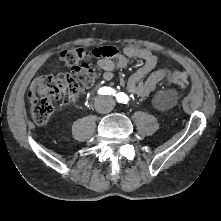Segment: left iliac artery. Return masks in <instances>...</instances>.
Instances as JSON below:
<instances>
[{"label": "left iliac artery", "instance_id": "44dca946", "mask_svg": "<svg viewBox=\"0 0 221 221\" xmlns=\"http://www.w3.org/2000/svg\"><path fill=\"white\" fill-rule=\"evenodd\" d=\"M116 99H117L118 102H124L125 101V95L123 93H118L117 96H116Z\"/></svg>", "mask_w": 221, "mask_h": 221}]
</instances>
